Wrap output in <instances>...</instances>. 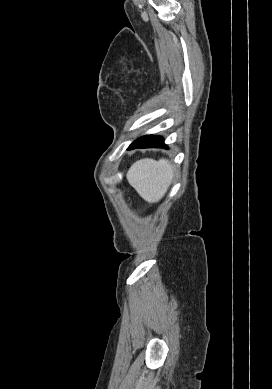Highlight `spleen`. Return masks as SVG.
Instances as JSON below:
<instances>
[{
    "instance_id": "obj_1",
    "label": "spleen",
    "mask_w": 272,
    "mask_h": 389,
    "mask_svg": "<svg viewBox=\"0 0 272 389\" xmlns=\"http://www.w3.org/2000/svg\"><path fill=\"white\" fill-rule=\"evenodd\" d=\"M126 178L144 200L149 203L157 202L164 196L172 181L173 166L166 159H141L130 167Z\"/></svg>"
}]
</instances>
